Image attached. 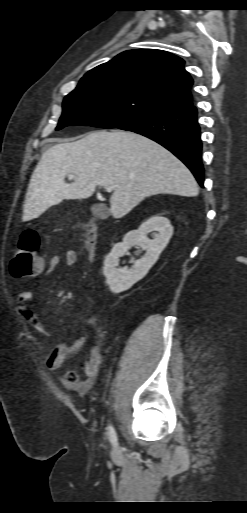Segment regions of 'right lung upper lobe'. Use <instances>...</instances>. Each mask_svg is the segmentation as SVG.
Wrapping results in <instances>:
<instances>
[{"label":"right lung upper lobe","instance_id":"obj_1","mask_svg":"<svg viewBox=\"0 0 247 513\" xmlns=\"http://www.w3.org/2000/svg\"><path fill=\"white\" fill-rule=\"evenodd\" d=\"M184 61L165 51L137 49L120 53L87 72L78 89L118 88L137 92L168 109L192 104L193 80Z\"/></svg>","mask_w":247,"mask_h":513}]
</instances>
